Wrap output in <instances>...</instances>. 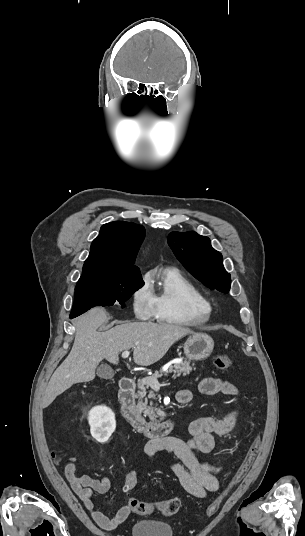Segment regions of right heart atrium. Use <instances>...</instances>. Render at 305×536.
<instances>
[{
    "label": "right heart atrium",
    "instance_id": "obj_1",
    "mask_svg": "<svg viewBox=\"0 0 305 536\" xmlns=\"http://www.w3.org/2000/svg\"><path fill=\"white\" fill-rule=\"evenodd\" d=\"M130 299L131 308L138 319L148 320L155 316L156 310L147 278L144 277L135 287Z\"/></svg>",
    "mask_w": 305,
    "mask_h": 536
}]
</instances>
